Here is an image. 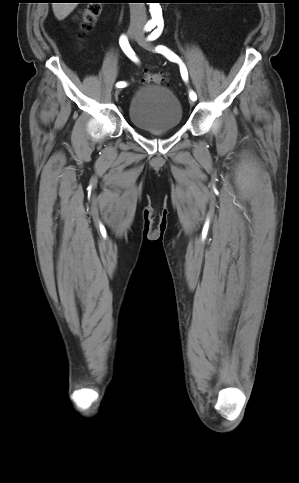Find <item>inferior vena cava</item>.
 <instances>
[{
    "mask_svg": "<svg viewBox=\"0 0 299 483\" xmlns=\"http://www.w3.org/2000/svg\"><path fill=\"white\" fill-rule=\"evenodd\" d=\"M130 27L142 31L146 23L144 3H130Z\"/></svg>",
    "mask_w": 299,
    "mask_h": 483,
    "instance_id": "1",
    "label": "inferior vena cava"
}]
</instances>
